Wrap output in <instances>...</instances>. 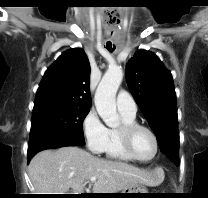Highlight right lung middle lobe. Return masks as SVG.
<instances>
[{
	"instance_id": "obj_1",
	"label": "right lung middle lobe",
	"mask_w": 208,
	"mask_h": 198,
	"mask_svg": "<svg viewBox=\"0 0 208 198\" xmlns=\"http://www.w3.org/2000/svg\"><path fill=\"white\" fill-rule=\"evenodd\" d=\"M89 111V107L73 104H51L34 108L29 142L62 135L85 144L82 125Z\"/></svg>"
}]
</instances>
